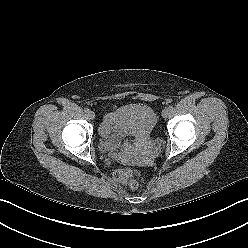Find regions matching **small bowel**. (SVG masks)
<instances>
[{"mask_svg":"<svg viewBox=\"0 0 248 248\" xmlns=\"http://www.w3.org/2000/svg\"><path fill=\"white\" fill-rule=\"evenodd\" d=\"M102 132H104L105 134L116 132L119 136L124 135L123 130L120 129L117 123V119L114 113L107 115L102 126Z\"/></svg>","mask_w":248,"mask_h":248,"instance_id":"c3829d8e","label":"small bowel"}]
</instances>
